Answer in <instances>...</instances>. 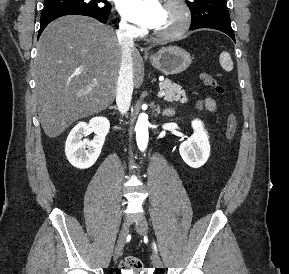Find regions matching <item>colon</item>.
Wrapping results in <instances>:
<instances>
[{
    "mask_svg": "<svg viewBox=\"0 0 289 274\" xmlns=\"http://www.w3.org/2000/svg\"><path fill=\"white\" fill-rule=\"evenodd\" d=\"M204 84L214 90L215 93L221 95L224 93V87L209 73L202 74ZM237 132V118L231 113L228 115L226 124V136L232 140ZM120 269L124 271H143V265L139 258L135 256H127L120 263Z\"/></svg>",
    "mask_w": 289,
    "mask_h": 274,
    "instance_id": "1",
    "label": "colon"
}]
</instances>
